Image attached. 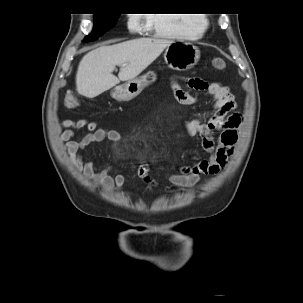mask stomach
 I'll list each match as a JSON object with an SVG mask.
<instances>
[{
  "mask_svg": "<svg viewBox=\"0 0 303 303\" xmlns=\"http://www.w3.org/2000/svg\"><path fill=\"white\" fill-rule=\"evenodd\" d=\"M200 59V50L189 42L174 41L164 53V60L171 69L186 71L191 69ZM157 79L154 71H148L138 78L126 81L115 87L112 96L118 101H127L136 97L149 84Z\"/></svg>",
  "mask_w": 303,
  "mask_h": 303,
  "instance_id": "0dacf381",
  "label": "stomach"
}]
</instances>
